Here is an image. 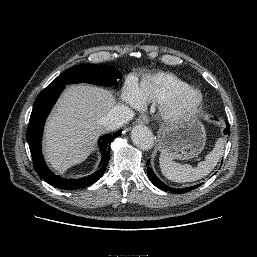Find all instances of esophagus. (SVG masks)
Segmentation results:
<instances>
[{"instance_id":"1","label":"esophagus","mask_w":257,"mask_h":257,"mask_svg":"<svg viewBox=\"0 0 257 257\" xmlns=\"http://www.w3.org/2000/svg\"><path fill=\"white\" fill-rule=\"evenodd\" d=\"M149 122V118L147 115H141L138 117L136 123L137 124H147Z\"/></svg>"}]
</instances>
